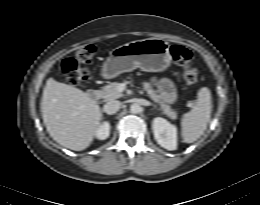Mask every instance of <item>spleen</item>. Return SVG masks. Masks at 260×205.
Wrapping results in <instances>:
<instances>
[{
    "label": "spleen",
    "instance_id": "spleen-1",
    "mask_svg": "<svg viewBox=\"0 0 260 205\" xmlns=\"http://www.w3.org/2000/svg\"><path fill=\"white\" fill-rule=\"evenodd\" d=\"M211 111V92L207 87H202L195 106L182 118V137L185 143H193L200 138L210 121Z\"/></svg>",
    "mask_w": 260,
    "mask_h": 205
}]
</instances>
